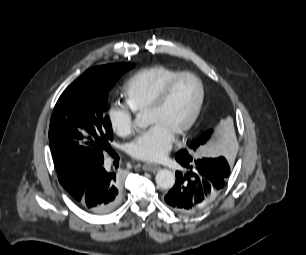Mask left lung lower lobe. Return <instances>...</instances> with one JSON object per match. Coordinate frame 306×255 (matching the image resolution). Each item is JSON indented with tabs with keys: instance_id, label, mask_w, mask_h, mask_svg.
I'll use <instances>...</instances> for the list:
<instances>
[{
	"instance_id": "1",
	"label": "left lung lower lobe",
	"mask_w": 306,
	"mask_h": 255,
	"mask_svg": "<svg viewBox=\"0 0 306 255\" xmlns=\"http://www.w3.org/2000/svg\"><path fill=\"white\" fill-rule=\"evenodd\" d=\"M176 160L185 173L176 172L175 185L165 196V201L176 212H198L224 187L230 170L195 160L185 149L176 154Z\"/></svg>"
}]
</instances>
